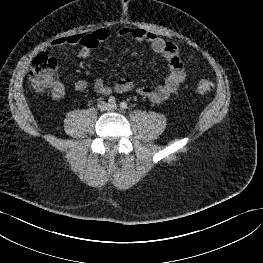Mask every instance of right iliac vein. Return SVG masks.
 <instances>
[{
    "instance_id": "63e3f726",
    "label": "right iliac vein",
    "mask_w": 263,
    "mask_h": 263,
    "mask_svg": "<svg viewBox=\"0 0 263 263\" xmlns=\"http://www.w3.org/2000/svg\"><path fill=\"white\" fill-rule=\"evenodd\" d=\"M98 107L100 110L104 111V110H108L110 105L103 101L99 103Z\"/></svg>"
}]
</instances>
